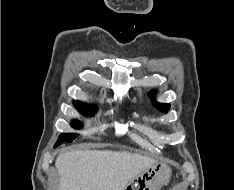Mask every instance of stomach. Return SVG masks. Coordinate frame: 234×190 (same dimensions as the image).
Wrapping results in <instances>:
<instances>
[{"instance_id":"stomach-1","label":"stomach","mask_w":234,"mask_h":190,"mask_svg":"<svg viewBox=\"0 0 234 190\" xmlns=\"http://www.w3.org/2000/svg\"><path fill=\"white\" fill-rule=\"evenodd\" d=\"M172 170L166 163L155 162L144 172L134 177L124 190H160L171 178Z\"/></svg>"}]
</instances>
